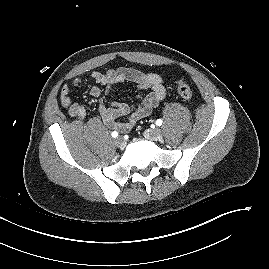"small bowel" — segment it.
<instances>
[{
  "label": "small bowel",
  "instance_id": "1",
  "mask_svg": "<svg viewBox=\"0 0 269 269\" xmlns=\"http://www.w3.org/2000/svg\"><path fill=\"white\" fill-rule=\"evenodd\" d=\"M90 79L96 84L90 90L93 97L99 98V114L109 129L122 133L130 131L141 119L149 116L152 111L164 100L166 87L164 79L152 72H143L134 68L119 67L106 73L94 72ZM82 78H75L61 88L60 102L71 117L84 119L86 108L71 98L73 86L82 83ZM121 83L136 84L140 90L148 93L140 97V103L133 105L125 102L108 101L107 97L113 88Z\"/></svg>",
  "mask_w": 269,
  "mask_h": 269
}]
</instances>
